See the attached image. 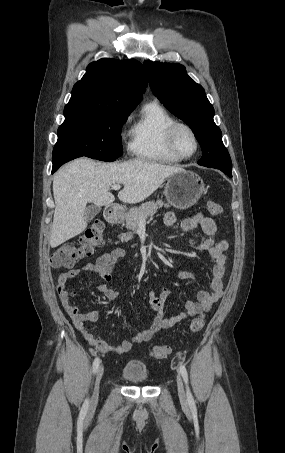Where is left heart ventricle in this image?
Masks as SVG:
<instances>
[{"label":"left heart ventricle","instance_id":"1","mask_svg":"<svg viewBox=\"0 0 285 453\" xmlns=\"http://www.w3.org/2000/svg\"><path fill=\"white\" fill-rule=\"evenodd\" d=\"M176 146L178 150L185 155H189L194 151L195 143L191 134L187 130L180 129L177 132Z\"/></svg>","mask_w":285,"mask_h":453}]
</instances>
